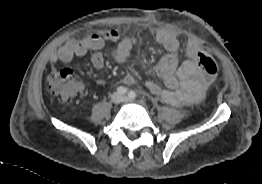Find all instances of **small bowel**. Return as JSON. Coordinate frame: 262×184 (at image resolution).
<instances>
[{"mask_svg": "<svg viewBox=\"0 0 262 184\" xmlns=\"http://www.w3.org/2000/svg\"><path fill=\"white\" fill-rule=\"evenodd\" d=\"M148 35L165 49L166 54L154 67L147 69L160 77L166 87L162 88L153 81H147L145 84L147 89L173 106L191 105L201 101L209 78L198 66L199 51L196 48V41L193 39L186 41L185 46L189 49L185 53L187 59L180 62L178 57L180 41L176 32L160 29L149 32ZM106 42H117L114 58L118 63L123 64L136 46L137 38L121 37L115 29L97 30L81 40H72L59 47L51 54L50 62L52 64L66 63L92 52V65L96 69H101L105 62L100 51ZM123 82L131 85L134 83V78L128 75L124 77Z\"/></svg>", "mask_w": 262, "mask_h": 184, "instance_id": "c3829d8e", "label": "small bowel"}]
</instances>
